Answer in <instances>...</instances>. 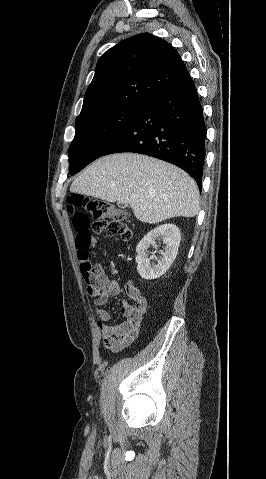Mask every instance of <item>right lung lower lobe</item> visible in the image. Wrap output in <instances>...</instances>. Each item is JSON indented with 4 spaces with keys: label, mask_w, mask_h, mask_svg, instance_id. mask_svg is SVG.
I'll use <instances>...</instances> for the list:
<instances>
[{
    "label": "right lung lower lobe",
    "mask_w": 266,
    "mask_h": 479,
    "mask_svg": "<svg viewBox=\"0 0 266 479\" xmlns=\"http://www.w3.org/2000/svg\"><path fill=\"white\" fill-rule=\"evenodd\" d=\"M206 126L192 79L154 98L101 156L134 152L172 163L201 190Z\"/></svg>",
    "instance_id": "98d812e1"
}]
</instances>
